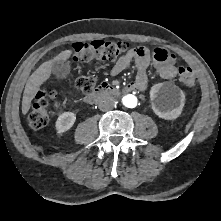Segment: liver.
Returning a JSON list of instances; mask_svg holds the SVG:
<instances>
[{
	"instance_id": "6515ba94",
	"label": "liver",
	"mask_w": 221,
	"mask_h": 221,
	"mask_svg": "<svg viewBox=\"0 0 221 221\" xmlns=\"http://www.w3.org/2000/svg\"><path fill=\"white\" fill-rule=\"evenodd\" d=\"M72 54V50H64L56 55L53 59L42 63L29 77L23 94L22 99V113L25 115L30 109L31 102L36 93L39 91L40 86L46 82L52 71L53 62L56 60L66 61Z\"/></svg>"
}]
</instances>
